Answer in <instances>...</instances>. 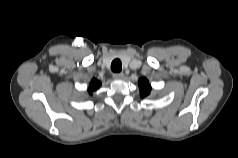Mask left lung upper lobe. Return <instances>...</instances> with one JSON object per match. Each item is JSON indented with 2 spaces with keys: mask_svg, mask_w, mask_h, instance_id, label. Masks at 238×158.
I'll return each mask as SVG.
<instances>
[{
  "mask_svg": "<svg viewBox=\"0 0 238 158\" xmlns=\"http://www.w3.org/2000/svg\"><path fill=\"white\" fill-rule=\"evenodd\" d=\"M138 85L140 87L141 98H145L150 94L151 86L149 85V81L145 77L139 80Z\"/></svg>",
  "mask_w": 238,
  "mask_h": 158,
  "instance_id": "5c2ea615",
  "label": "left lung upper lobe"
}]
</instances>
